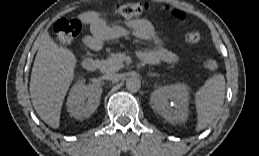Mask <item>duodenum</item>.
Wrapping results in <instances>:
<instances>
[{
  "label": "duodenum",
  "mask_w": 259,
  "mask_h": 156,
  "mask_svg": "<svg viewBox=\"0 0 259 156\" xmlns=\"http://www.w3.org/2000/svg\"><path fill=\"white\" fill-rule=\"evenodd\" d=\"M99 48V45L98 44H95L91 49H98ZM100 66V62L99 60L97 59H94V58H86L84 61H83V67L85 70L87 71H90V72H93L95 70H97Z\"/></svg>",
  "instance_id": "410a0bca"
}]
</instances>
